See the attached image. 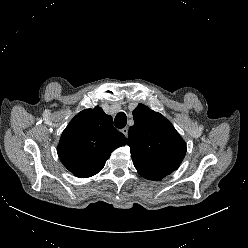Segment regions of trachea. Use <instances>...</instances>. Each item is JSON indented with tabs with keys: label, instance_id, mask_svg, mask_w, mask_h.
Instances as JSON below:
<instances>
[{
	"label": "trachea",
	"instance_id": "trachea-1",
	"mask_svg": "<svg viewBox=\"0 0 248 248\" xmlns=\"http://www.w3.org/2000/svg\"><path fill=\"white\" fill-rule=\"evenodd\" d=\"M126 124H127L126 114L124 112L118 113L114 119L115 127L121 129L124 128Z\"/></svg>",
	"mask_w": 248,
	"mask_h": 248
}]
</instances>
